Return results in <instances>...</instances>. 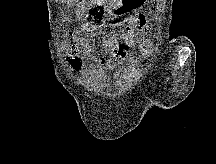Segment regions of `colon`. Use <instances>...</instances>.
<instances>
[{
    "label": "colon",
    "instance_id": "obj_1",
    "mask_svg": "<svg viewBox=\"0 0 216 164\" xmlns=\"http://www.w3.org/2000/svg\"><path fill=\"white\" fill-rule=\"evenodd\" d=\"M65 45L69 53L75 55L82 49L88 48L90 43L77 36L71 35L66 39ZM71 63L76 67L80 64L77 58L72 59Z\"/></svg>",
    "mask_w": 216,
    "mask_h": 164
}]
</instances>
